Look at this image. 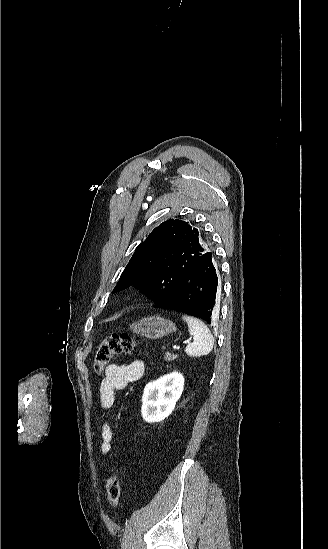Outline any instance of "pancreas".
I'll return each instance as SVG.
<instances>
[{"mask_svg":"<svg viewBox=\"0 0 328 549\" xmlns=\"http://www.w3.org/2000/svg\"><path fill=\"white\" fill-rule=\"evenodd\" d=\"M174 359H178L177 355H171V353H165L164 355V361H174Z\"/></svg>","mask_w":328,"mask_h":549,"instance_id":"obj_1","label":"pancreas"}]
</instances>
